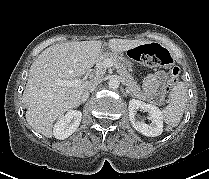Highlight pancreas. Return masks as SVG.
Wrapping results in <instances>:
<instances>
[{"label": "pancreas", "mask_w": 209, "mask_h": 179, "mask_svg": "<svg viewBox=\"0 0 209 179\" xmlns=\"http://www.w3.org/2000/svg\"><path fill=\"white\" fill-rule=\"evenodd\" d=\"M106 59H110L113 62V65L115 66L117 72L123 80L128 93H130V95L135 98L146 100V95L142 92L141 88L138 86L136 80L132 77V75L128 73L125 67L124 59L121 56L113 53H105L101 55L97 62L98 77H102L105 74L106 67L104 65V62Z\"/></svg>", "instance_id": "pancreas-1"}]
</instances>
